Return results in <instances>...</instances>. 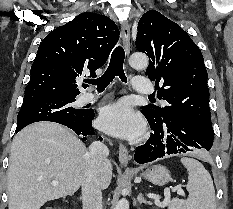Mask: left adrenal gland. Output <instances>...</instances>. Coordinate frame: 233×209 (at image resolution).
Listing matches in <instances>:
<instances>
[{"label": "left adrenal gland", "mask_w": 233, "mask_h": 209, "mask_svg": "<svg viewBox=\"0 0 233 209\" xmlns=\"http://www.w3.org/2000/svg\"><path fill=\"white\" fill-rule=\"evenodd\" d=\"M137 200H138V203H139V204L144 203V204L151 205V202L146 201V200L143 198L142 194H139V195H138Z\"/></svg>", "instance_id": "left-adrenal-gland-1"}]
</instances>
